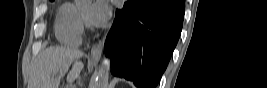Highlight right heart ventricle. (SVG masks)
<instances>
[{
	"instance_id": "e07e8e85",
	"label": "right heart ventricle",
	"mask_w": 267,
	"mask_h": 88,
	"mask_svg": "<svg viewBox=\"0 0 267 88\" xmlns=\"http://www.w3.org/2000/svg\"><path fill=\"white\" fill-rule=\"evenodd\" d=\"M80 14L77 6L71 3L63 4L57 15L56 35L65 45H77L80 41Z\"/></svg>"
}]
</instances>
